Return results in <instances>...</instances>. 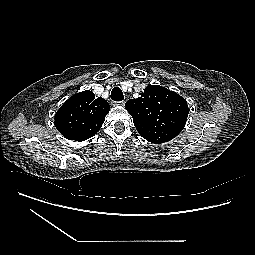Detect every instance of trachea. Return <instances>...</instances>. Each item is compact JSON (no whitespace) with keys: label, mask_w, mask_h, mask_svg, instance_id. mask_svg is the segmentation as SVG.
<instances>
[{"label":"trachea","mask_w":255,"mask_h":255,"mask_svg":"<svg viewBox=\"0 0 255 255\" xmlns=\"http://www.w3.org/2000/svg\"><path fill=\"white\" fill-rule=\"evenodd\" d=\"M111 99L116 102H120L124 99L123 92L119 87L113 88L111 91Z\"/></svg>","instance_id":"obj_1"}]
</instances>
